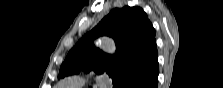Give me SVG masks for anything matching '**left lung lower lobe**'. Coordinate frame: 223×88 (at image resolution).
<instances>
[{
	"label": "left lung lower lobe",
	"mask_w": 223,
	"mask_h": 88,
	"mask_svg": "<svg viewBox=\"0 0 223 88\" xmlns=\"http://www.w3.org/2000/svg\"><path fill=\"white\" fill-rule=\"evenodd\" d=\"M158 74V60L155 59L143 72L129 79L121 88H157Z\"/></svg>",
	"instance_id": "obj_1"
}]
</instances>
